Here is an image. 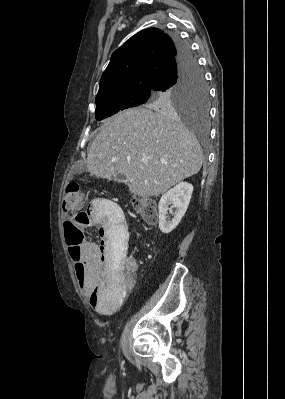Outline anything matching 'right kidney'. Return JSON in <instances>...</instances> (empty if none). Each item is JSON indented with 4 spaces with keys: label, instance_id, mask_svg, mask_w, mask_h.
<instances>
[{
    "label": "right kidney",
    "instance_id": "obj_1",
    "mask_svg": "<svg viewBox=\"0 0 285 399\" xmlns=\"http://www.w3.org/2000/svg\"><path fill=\"white\" fill-rule=\"evenodd\" d=\"M192 192L193 186L190 183L181 182L162 195L158 205L159 229L162 233H170L180 223L188 208ZM169 205H172L171 208ZM172 208H176V212L173 219L167 221V211L172 212Z\"/></svg>",
    "mask_w": 285,
    "mask_h": 399
}]
</instances>
